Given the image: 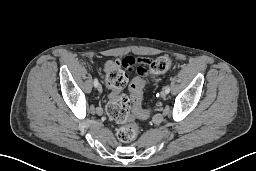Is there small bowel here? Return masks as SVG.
I'll return each instance as SVG.
<instances>
[{"instance_id": "small-bowel-1", "label": "small bowel", "mask_w": 256, "mask_h": 171, "mask_svg": "<svg viewBox=\"0 0 256 171\" xmlns=\"http://www.w3.org/2000/svg\"><path fill=\"white\" fill-rule=\"evenodd\" d=\"M150 63L149 59L141 58L138 56H126L122 60L117 61H107L104 64V71L108 74L114 69H123L131 71L136 68V71L140 75H147L150 71L147 68V65ZM140 118L144 119L147 115H139Z\"/></svg>"}]
</instances>
